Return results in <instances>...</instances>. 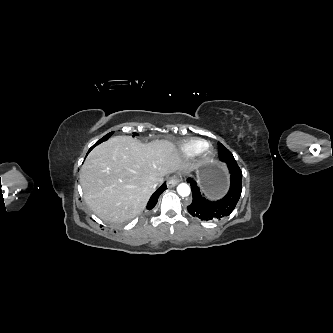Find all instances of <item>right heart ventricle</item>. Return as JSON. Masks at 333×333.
Listing matches in <instances>:
<instances>
[{
  "mask_svg": "<svg viewBox=\"0 0 333 333\" xmlns=\"http://www.w3.org/2000/svg\"><path fill=\"white\" fill-rule=\"evenodd\" d=\"M207 143L200 139H192L182 143L179 146L180 153L186 158H193L199 155L205 148Z\"/></svg>",
  "mask_w": 333,
  "mask_h": 333,
  "instance_id": "right-heart-ventricle-1",
  "label": "right heart ventricle"
}]
</instances>
